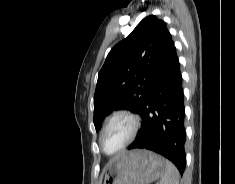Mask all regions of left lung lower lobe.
<instances>
[{
	"instance_id": "left-lung-lower-lobe-1",
	"label": "left lung lower lobe",
	"mask_w": 235,
	"mask_h": 184,
	"mask_svg": "<svg viewBox=\"0 0 235 184\" xmlns=\"http://www.w3.org/2000/svg\"><path fill=\"white\" fill-rule=\"evenodd\" d=\"M140 115L143 127L128 149H148L185 169V129L182 77L174 42L169 34L156 64Z\"/></svg>"
}]
</instances>
